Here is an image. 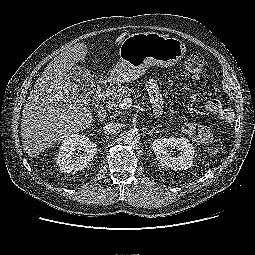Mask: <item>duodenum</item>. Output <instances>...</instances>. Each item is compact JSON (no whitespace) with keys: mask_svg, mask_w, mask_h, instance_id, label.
Instances as JSON below:
<instances>
[{"mask_svg":"<svg viewBox=\"0 0 255 255\" xmlns=\"http://www.w3.org/2000/svg\"><path fill=\"white\" fill-rule=\"evenodd\" d=\"M113 89V85L108 81V80H103L100 82L97 88V103L101 105L103 103V100H105L109 94L111 93ZM97 117L100 120H105L106 119V112L102 107H99L97 111Z\"/></svg>","mask_w":255,"mask_h":255,"instance_id":"obj_1","label":"duodenum"}]
</instances>
